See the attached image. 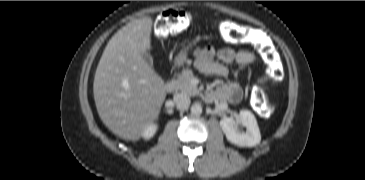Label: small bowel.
I'll return each instance as SVG.
<instances>
[{
    "instance_id": "c3829d8e",
    "label": "small bowel",
    "mask_w": 365,
    "mask_h": 180,
    "mask_svg": "<svg viewBox=\"0 0 365 180\" xmlns=\"http://www.w3.org/2000/svg\"><path fill=\"white\" fill-rule=\"evenodd\" d=\"M195 67L205 75L225 78L228 75V64L247 66L254 62L255 57L248 51H237L223 48L216 52L212 47L196 48L193 52ZM218 59V60H216ZM219 99L238 102L242 97V90L237 82L220 86L215 91Z\"/></svg>"
}]
</instances>
